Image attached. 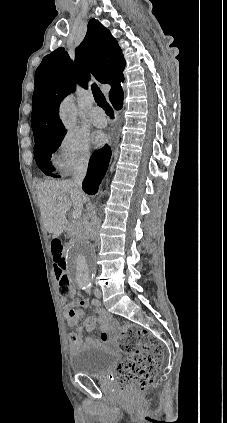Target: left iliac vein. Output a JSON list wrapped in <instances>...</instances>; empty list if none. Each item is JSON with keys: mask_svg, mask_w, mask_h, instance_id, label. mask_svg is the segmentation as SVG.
Instances as JSON below:
<instances>
[{"mask_svg": "<svg viewBox=\"0 0 227 423\" xmlns=\"http://www.w3.org/2000/svg\"><path fill=\"white\" fill-rule=\"evenodd\" d=\"M94 294H95V296H96L98 299L102 298V292H101V290L96 289V290L94 291Z\"/></svg>", "mask_w": 227, "mask_h": 423, "instance_id": "left-iliac-vein-1", "label": "left iliac vein"}]
</instances>
